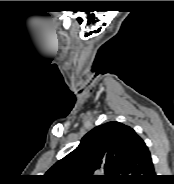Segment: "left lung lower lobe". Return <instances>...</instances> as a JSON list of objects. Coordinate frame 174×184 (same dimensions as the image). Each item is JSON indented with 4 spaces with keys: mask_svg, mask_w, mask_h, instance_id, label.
<instances>
[{
    "mask_svg": "<svg viewBox=\"0 0 174 184\" xmlns=\"http://www.w3.org/2000/svg\"><path fill=\"white\" fill-rule=\"evenodd\" d=\"M126 178L121 184H150L155 174L150 152L141 139L130 160Z\"/></svg>",
    "mask_w": 174,
    "mask_h": 184,
    "instance_id": "obj_1",
    "label": "left lung lower lobe"
}]
</instances>
